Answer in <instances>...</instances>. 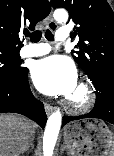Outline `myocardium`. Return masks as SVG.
<instances>
[{"instance_id":"obj_1","label":"myocardium","mask_w":114,"mask_h":156,"mask_svg":"<svg viewBox=\"0 0 114 156\" xmlns=\"http://www.w3.org/2000/svg\"><path fill=\"white\" fill-rule=\"evenodd\" d=\"M81 97L76 100L72 97H68L66 101L67 108L72 113H82L88 111L95 103L96 96L93 87L86 81H81L76 87Z\"/></svg>"}]
</instances>
